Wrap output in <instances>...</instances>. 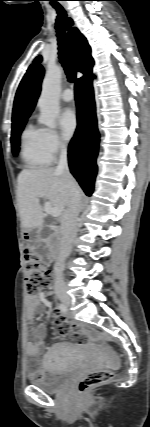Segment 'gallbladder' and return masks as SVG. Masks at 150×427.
Wrapping results in <instances>:
<instances>
[{"label":"gallbladder","mask_w":150,"mask_h":427,"mask_svg":"<svg viewBox=\"0 0 150 427\" xmlns=\"http://www.w3.org/2000/svg\"><path fill=\"white\" fill-rule=\"evenodd\" d=\"M35 253L37 255H39L44 262H48L49 261L48 249L45 247L44 244H41V243L36 244L35 245Z\"/></svg>","instance_id":"bac80fb5"}]
</instances>
